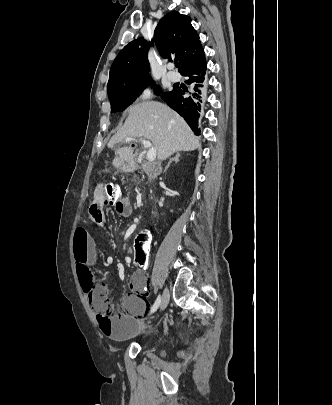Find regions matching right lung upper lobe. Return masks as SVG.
I'll return each mask as SVG.
<instances>
[{
	"mask_svg": "<svg viewBox=\"0 0 332 405\" xmlns=\"http://www.w3.org/2000/svg\"><path fill=\"white\" fill-rule=\"evenodd\" d=\"M154 40L163 58L175 56L180 62V73L205 58L199 35L191 25V18L177 11L169 12L160 20L154 32ZM148 49L149 44L143 38H138L120 51L110 69L108 90L130 79L151 77L148 73Z\"/></svg>",
	"mask_w": 332,
	"mask_h": 405,
	"instance_id": "1",
	"label": "right lung upper lobe"
}]
</instances>
